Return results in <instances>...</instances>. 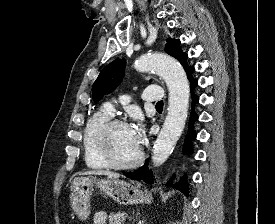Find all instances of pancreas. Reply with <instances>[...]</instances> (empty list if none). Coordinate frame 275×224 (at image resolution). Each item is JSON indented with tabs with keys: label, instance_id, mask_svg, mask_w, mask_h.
<instances>
[{
	"label": "pancreas",
	"instance_id": "obj_1",
	"mask_svg": "<svg viewBox=\"0 0 275 224\" xmlns=\"http://www.w3.org/2000/svg\"><path fill=\"white\" fill-rule=\"evenodd\" d=\"M125 217L122 213H110L109 215V224H123Z\"/></svg>",
	"mask_w": 275,
	"mask_h": 224
}]
</instances>
